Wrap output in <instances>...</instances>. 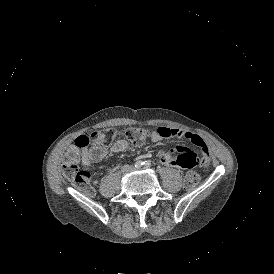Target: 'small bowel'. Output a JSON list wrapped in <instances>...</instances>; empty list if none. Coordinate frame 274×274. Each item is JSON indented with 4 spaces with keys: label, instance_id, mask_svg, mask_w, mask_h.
Returning <instances> with one entry per match:
<instances>
[{
    "label": "small bowel",
    "instance_id": "1",
    "mask_svg": "<svg viewBox=\"0 0 274 274\" xmlns=\"http://www.w3.org/2000/svg\"><path fill=\"white\" fill-rule=\"evenodd\" d=\"M169 137L184 138L191 141L202 151L200 164L206 166L210 162L211 156L208 146L198 134L187 130H177L163 126L158 127L151 133V141L154 143H158L164 138ZM128 148L129 143L125 139H117L110 149L114 153H120L126 151ZM80 149L82 163L88 167L101 161L107 154V149L99 144L91 147H87V145L82 146ZM176 156L178 157L177 160L175 159ZM161 161L167 167H182L186 171H194L199 165V156L189 147L177 146L174 150L168 149L163 151L161 154Z\"/></svg>",
    "mask_w": 274,
    "mask_h": 274
}]
</instances>
